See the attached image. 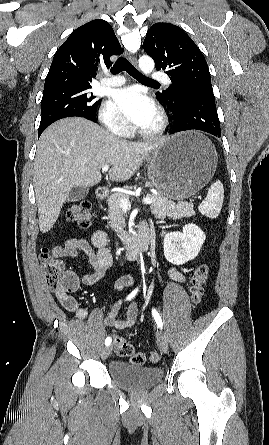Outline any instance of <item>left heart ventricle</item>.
Returning <instances> with one entry per match:
<instances>
[{
    "instance_id": "left-heart-ventricle-1",
    "label": "left heart ventricle",
    "mask_w": 269,
    "mask_h": 445,
    "mask_svg": "<svg viewBox=\"0 0 269 445\" xmlns=\"http://www.w3.org/2000/svg\"><path fill=\"white\" fill-rule=\"evenodd\" d=\"M157 122H158V118H157V115H156L147 125L142 127V129H144V130L152 129L153 127L156 126Z\"/></svg>"
}]
</instances>
